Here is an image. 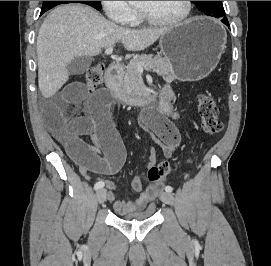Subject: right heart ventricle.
Wrapping results in <instances>:
<instances>
[{
	"instance_id": "1",
	"label": "right heart ventricle",
	"mask_w": 271,
	"mask_h": 266,
	"mask_svg": "<svg viewBox=\"0 0 271 266\" xmlns=\"http://www.w3.org/2000/svg\"><path fill=\"white\" fill-rule=\"evenodd\" d=\"M140 21H141L140 17H136V20H135L134 23H138V22H140Z\"/></svg>"
}]
</instances>
